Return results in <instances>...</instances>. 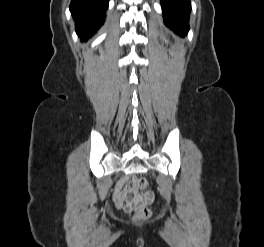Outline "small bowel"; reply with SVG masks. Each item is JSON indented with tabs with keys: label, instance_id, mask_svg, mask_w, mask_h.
I'll use <instances>...</instances> for the list:
<instances>
[{
	"label": "small bowel",
	"instance_id": "small-bowel-1",
	"mask_svg": "<svg viewBox=\"0 0 264 247\" xmlns=\"http://www.w3.org/2000/svg\"><path fill=\"white\" fill-rule=\"evenodd\" d=\"M130 194H132L130 179L128 177H123L121 180H119L116 183L114 187V192H113L114 199L119 205V199L124 198Z\"/></svg>",
	"mask_w": 264,
	"mask_h": 247
}]
</instances>
